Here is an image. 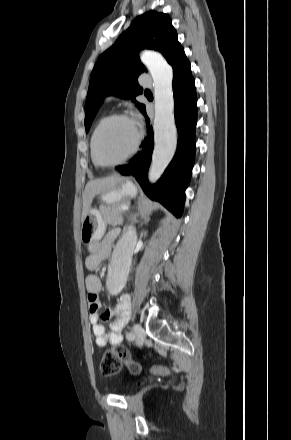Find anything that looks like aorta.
<instances>
[{
  "label": "aorta",
  "instance_id": "762f6f07",
  "mask_svg": "<svg viewBox=\"0 0 291 440\" xmlns=\"http://www.w3.org/2000/svg\"><path fill=\"white\" fill-rule=\"evenodd\" d=\"M140 59L153 78L154 150L148 177L149 181L154 183L172 160L177 147L172 90L173 70L164 57L156 52L143 51ZM136 242V228L129 227L114 249L107 279V288L111 293L120 292L126 284Z\"/></svg>",
  "mask_w": 291,
  "mask_h": 440
}]
</instances>
